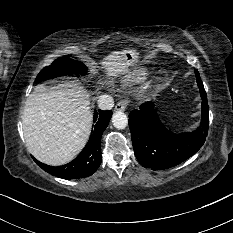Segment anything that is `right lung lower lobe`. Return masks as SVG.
I'll list each match as a JSON object with an SVG mask.
<instances>
[{
  "label": "right lung lower lobe",
  "instance_id": "obj_1",
  "mask_svg": "<svg viewBox=\"0 0 233 233\" xmlns=\"http://www.w3.org/2000/svg\"><path fill=\"white\" fill-rule=\"evenodd\" d=\"M112 111L98 110L94 113L95 129L82 152L70 163L52 167L36 160L34 161L48 173L60 176L64 179H79L91 176L101 163V137L103 131L109 124Z\"/></svg>",
  "mask_w": 233,
  "mask_h": 233
}]
</instances>
